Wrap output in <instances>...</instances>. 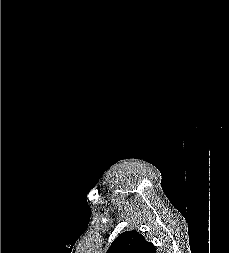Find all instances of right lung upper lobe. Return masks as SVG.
I'll return each mask as SVG.
<instances>
[{"instance_id":"1","label":"right lung upper lobe","mask_w":229,"mask_h":253,"mask_svg":"<svg viewBox=\"0 0 229 253\" xmlns=\"http://www.w3.org/2000/svg\"><path fill=\"white\" fill-rule=\"evenodd\" d=\"M107 253H156V248L134 230L120 234L111 244Z\"/></svg>"}]
</instances>
